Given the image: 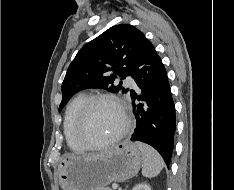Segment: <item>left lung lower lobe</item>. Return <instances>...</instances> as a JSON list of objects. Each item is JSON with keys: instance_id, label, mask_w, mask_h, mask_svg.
I'll use <instances>...</instances> for the list:
<instances>
[{"instance_id": "1", "label": "left lung lower lobe", "mask_w": 234, "mask_h": 190, "mask_svg": "<svg viewBox=\"0 0 234 190\" xmlns=\"http://www.w3.org/2000/svg\"><path fill=\"white\" fill-rule=\"evenodd\" d=\"M133 79L141 93L130 92L137 122L131 140L154 147L169 167L176 128L175 107L167 72L146 37L140 43Z\"/></svg>"}]
</instances>
